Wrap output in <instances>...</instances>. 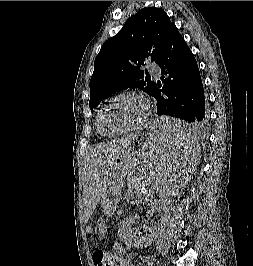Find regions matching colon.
<instances>
[{
  "label": "colon",
  "instance_id": "obj_1",
  "mask_svg": "<svg viewBox=\"0 0 253 266\" xmlns=\"http://www.w3.org/2000/svg\"><path fill=\"white\" fill-rule=\"evenodd\" d=\"M93 261L96 266H119V259L108 255L105 251L94 252Z\"/></svg>",
  "mask_w": 253,
  "mask_h": 266
}]
</instances>
